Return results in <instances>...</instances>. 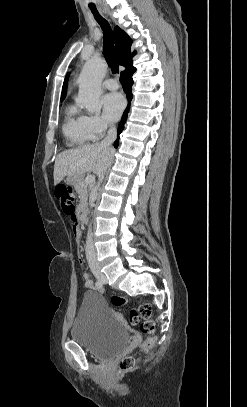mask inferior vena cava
<instances>
[{
	"label": "inferior vena cava",
	"mask_w": 247,
	"mask_h": 407,
	"mask_svg": "<svg viewBox=\"0 0 247 407\" xmlns=\"http://www.w3.org/2000/svg\"><path fill=\"white\" fill-rule=\"evenodd\" d=\"M117 135V130L115 126H110L107 136L101 141L100 145L105 148H110L112 143L115 141ZM104 178V173L99 175V182L98 186L102 182ZM86 258L89 264H95L96 261V252L94 248V243L92 240V232L91 229L88 230V235H87V242H86Z\"/></svg>",
	"instance_id": "602c4592"
}]
</instances>
